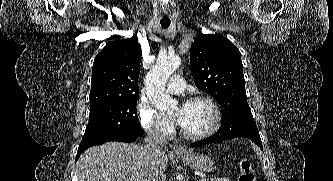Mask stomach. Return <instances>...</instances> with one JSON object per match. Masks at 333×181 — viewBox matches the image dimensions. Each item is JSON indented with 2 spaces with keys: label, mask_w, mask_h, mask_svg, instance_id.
I'll return each instance as SVG.
<instances>
[{
  "label": "stomach",
  "mask_w": 333,
  "mask_h": 181,
  "mask_svg": "<svg viewBox=\"0 0 333 181\" xmlns=\"http://www.w3.org/2000/svg\"><path fill=\"white\" fill-rule=\"evenodd\" d=\"M178 158L190 168L199 172H209L213 169V160L204 154L190 152L185 155H178Z\"/></svg>",
  "instance_id": "0dacf381"
}]
</instances>
